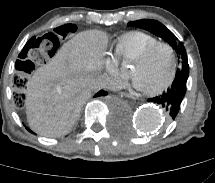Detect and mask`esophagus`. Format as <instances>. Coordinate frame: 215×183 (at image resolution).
<instances>
[{
    "mask_svg": "<svg viewBox=\"0 0 215 183\" xmlns=\"http://www.w3.org/2000/svg\"><path fill=\"white\" fill-rule=\"evenodd\" d=\"M119 95H120L121 97H128V98H131V97H132V94L129 93V92H127V91H121V92L119 93Z\"/></svg>",
    "mask_w": 215,
    "mask_h": 183,
    "instance_id": "1",
    "label": "esophagus"
}]
</instances>
